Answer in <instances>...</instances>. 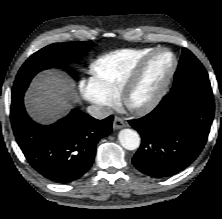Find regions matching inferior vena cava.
<instances>
[{
  "label": "inferior vena cava",
  "mask_w": 222,
  "mask_h": 219,
  "mask_svg": "<svg viewBox=\"0 0 222 219\" xmlns=\"http://www.w3.org/2000/svg\"><path fill=\"white\" fill-rule=\"evenodd\" d=\"M88 113L96 119H104L110 116L113 111L109 107L91 105L87 108Z\"/></svg>",
  "instance_id": "inferior-vena-cava-1"
}]
</instances>
